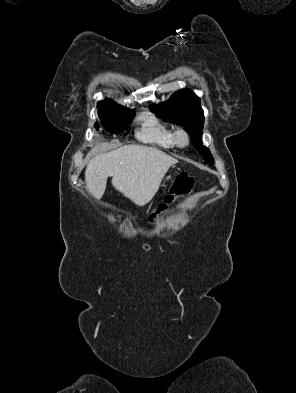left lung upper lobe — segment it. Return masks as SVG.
Instances as JSON below:
<instances>
[{
    "instance_id": "obj_1",
    "label": "left lung upper lobe",
    "mask_w": 296,
    "mask_h": 393,
    "mask_svg": "<svg viewBox=\"0 0 296 393\" xmlns=\"http://www.w3.org/2000/svg\"><path fill=\"white\" fill-rule=\"evenodd\" d=\"M150 110L164 121L176 123L184 127L190 134L191 140L206 163L213 164V157L208 148L202 145L204 112L200 99L190 90L182 89L171 98L158 105L149 106Z\"/></svg>"
}]
</instances>
